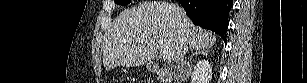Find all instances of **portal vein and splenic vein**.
I'll use <instances>...</instances> for the list:
<instances>
[{
    "label": "portal vein and splenic vein",
    "mask_w": 307,
    "mask_h": 83,
    "mask_svg": "<svg viewBox=\"0 0 307 83\" xmlns=\"http://www.w3.org/2000/svg\"><path fill=\"white\" fill-rule=\"evenodd\" d=\"M161 51H162V58L165 61H170L172 59V53L168 50H166L165 48H163V46L161 45Z\"/></svg>",
    "instance_id": "1"
}]
</instances>
